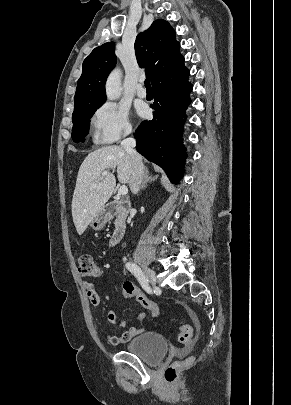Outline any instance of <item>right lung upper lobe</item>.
Here are the masks:
<instances>
[{
  "mask_svg": "<svg viewBox=\"0 0 291 405\" xmlns=\"http://www.w3.org/2000/svg\"><path fill=\"white\" fill-rule=\"evenodd\" d=\"M114 45V42H108L96 47L84 60L74 97L73 113L102 105L106 101V78L116 64ZM179 47L174 29L163 19L154 21L146 31L137 35V62L140 67L146 68V76L153 86L187 70Z\"/></svg>",
  "mask_w": 291,
  "mask_h": 405,
  "instance_id": "obj_1",
  "label": "right lung upper lobe"
}]
</instances>
